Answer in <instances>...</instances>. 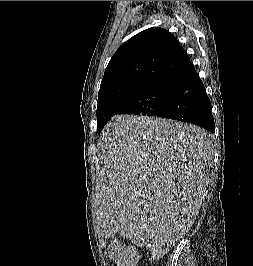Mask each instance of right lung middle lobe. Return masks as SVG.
I'll list each match as a JSON object with an SVG mask.
<instances>
[{
  "instance_id": "obj_1",
  "label": "right lung middle lobe",
  "mask_w": 253,
  "mask_h": 266,
  "mask_svg": "<svg viewBox=\"0 0 253 266\" xmlns=\"http://www.w3.org/2000/svg\"><path fill=\"white\" fill-rule=\"evenodd\" d=\"M171 83H152L125 92L97 106V132L117 114L159 116L165 109Z\"/></svg>"
}]
</instances>
